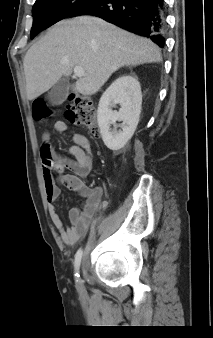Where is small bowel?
<instances>
[{"mask_svg": "<svg viewBox=\"0 0 213 338\" xmlns=\"http://www.w3.org/2000/svg\"><path fill=\"white\" fill-rule=\"evenodd\" d=\"M53 129L57 133H65L67 125L63 121H56ZM50 138V131L45 130L40 147L43 185L49 202L48 210L53 225L60 231L61 240L67 246H73L85 236L89 225L96 219L97 210L102 205V190L99 187H90L84 182L93 166L92 152L86 136L80 133L72 134L74 144L69 148L71 157L62 156L54 151L50 145ZM66 169L71 172H64ZM53 171L58 173L57 177ZM61 186L83 199L81 209L69 212L71 222L69 226L64 225L54 205L61 194Z\"/></svg>", "mask_w": 213, "mask_h": 338, "instance_id": "obj_1", "label": "small bowel"}]
</instances>
